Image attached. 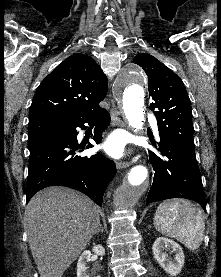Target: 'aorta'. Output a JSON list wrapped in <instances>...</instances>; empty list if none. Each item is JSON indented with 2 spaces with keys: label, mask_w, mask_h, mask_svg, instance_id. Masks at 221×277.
Returning <instances> with one entry per match:
<instances>
[{
  "label": "aorta",
  "mask_w": 221,
  "mask_h": 277,
  "mask_svg": "<svg viewBox=\"0 0 221 277\" xmlns=\"http://www.w3.org/2000/svg\"><path fill=\"white\" fill-rule=\"evenodd\" d=\"M144 84L145 74L137 65L123 67L116 83V93L122 100L125 117L135 131L143 129L144 124ZM148 186V169L144 165L134 166L115 191V208L120 211L133 208Z\"/></svg>",
  "instance_id": "aorta-1"
}]
</instances>
